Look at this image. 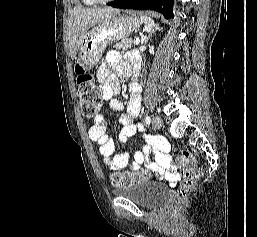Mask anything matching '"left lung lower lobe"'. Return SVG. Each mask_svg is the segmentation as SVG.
I'll use <instances>...</instances> for the list:
<instances>
[{
    "mask_svg": "<svg viewBox=\"0 0 257 237\" xmlns=\"http://www.w3.org/2000/svg\"><path fill=\"white\" fill-rule=\"evenodd\" d=\"M107 5L120 9L154 10L165 18H173V0H118Z\"/></svg>",
    "mask_w": 257,
    "mask_h": 237,
    "instance_id": "obj_1",
    "label": "left lung lower lobe"
}]
</instances>
